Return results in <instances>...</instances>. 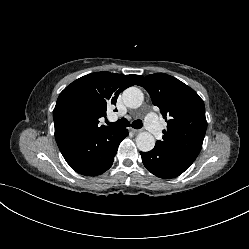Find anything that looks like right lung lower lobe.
<instances>
[{
  "mask_svg": "<svg viewBox=\"0 0 249 249\" xmlns=\"http://www.w3.org/2000/svg\"><path fill=\"white\" fill-rule=\"evenodd\" d=\"M128 136L125 128L104 131L96 135H61L57 145L69 166L86 176L107 171L114 160L120 142Z\"/></svg>",
  "mask_w": 249,
  "mask_h": 249,
  "instance_id": "right-lung-lower-lobe-1",
  "label": "right lung lower lobe"
}]
</instances>
